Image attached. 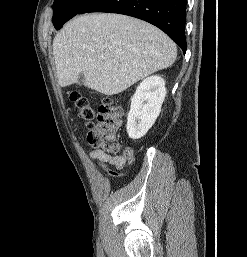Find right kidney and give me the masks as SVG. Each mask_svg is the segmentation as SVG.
<instances>
[{"instance_id": "ca27d5eb", "label": "right kidney", "mask_w": 247, "mask_h": 257, "mask_svg": "<svg viewBox=\"0 0 247 257\" xmlns=\"http://www.w3.org/2000/svg\"><path fill=\"white\" fill-rule=\"evenodd\" d=\"M165 95V80L161 76H150L139 84L127 117V133L131 139H140L153 126Z\"/></svg>"}]
</instances>
